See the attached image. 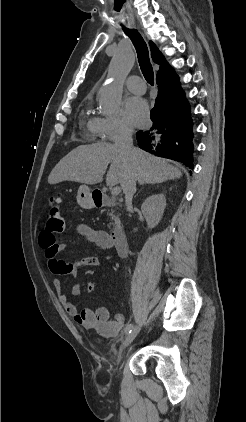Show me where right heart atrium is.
I'll return each instance as SVG.
<instances>
[{
  "label": "right heart atrium",
  "mask_w": 246,
  "mask_h": 422,
  "mask_svg": "<svg viewBox=\"0 0 246 422\" xmlns=\"http://www.w3.org/2000/svg\"><path fill=\"white\" fill-rule=\"evenodd\" d=\"M132 132V127L122 118L100 117L97 119V135L104 141H115Z\"/></svg>",
  "instance_id": "right-heart-atrium-1"
}]
</instances>
